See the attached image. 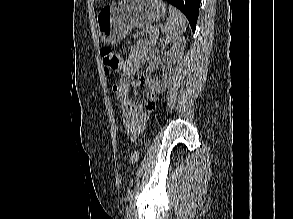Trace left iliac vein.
Segmentation results:
<instances>
[{"label":"left iliac vein","mask_w":293,"mask_h":219,"mask_svg":"<svg viewBox=\"0 0 293 219\" xmlns=\"http://www.w3.org/2000/svg\"><path fill=\"white\" fill-rule=\"evenodd\" d=\"M127 219H133V211L130 206H127Z\"/></svg>","instance_id":"1"}]
</instances>
